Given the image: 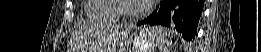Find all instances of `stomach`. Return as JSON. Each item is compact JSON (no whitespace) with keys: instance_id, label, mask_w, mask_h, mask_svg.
<instances>
[{"instance_id":"obj_1","label":"stomach","mask_w":261,"mask_h":52,"mask_svg":"<svg viewBox=\"0 0 261 52\" xmlns=\"http://www.w3.org/2000/svg\"><path fill=\"white\" fill-rule=\"evenodd\" d=\"M159 41L160 35L155 28H142L131 34L128 32L122 41V52H154Z\"/></svg>"}]
</instances>
